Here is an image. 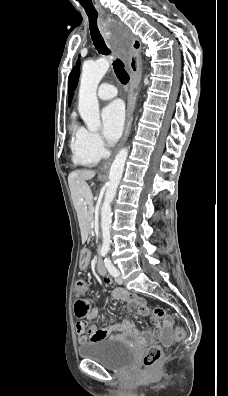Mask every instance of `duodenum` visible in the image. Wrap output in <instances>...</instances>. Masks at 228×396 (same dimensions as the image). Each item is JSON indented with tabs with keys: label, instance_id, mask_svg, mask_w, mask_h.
I'll return each mask as SVG.
<instances>
[{
	"label": "duodenum",
	"instance_id": "410a0bca",
	"mask_svg": "<svg viewBox=\"0 0 228 396\" xmlns=\"http://www.w3.org/2000/svg\"><path fill=\"white\" fill-rule=\"evenodd\" d=\"M97 270L101 275H106L107 270L104 261L101 258L97 260Z\"/></svg>",
	"mask_w": 228,
	"mask_h": 396
}]
</instances>
